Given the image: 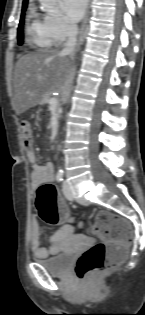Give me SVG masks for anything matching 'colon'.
I'll return each mask as SVG.
<instances>
[{
  "mask_svg": "<svg viewBox=\"0 0 145 315\" xmlns=\"http://www.w3.org/2000/svg\"><path fill=\"white\" fill-rule=\"evenodd\" d=\"M21 131L23 144L29 147L32 143V126L29 121L21 122ZM36 205L41 219L50 225H56L69 217L66 204L50 183L38 187ZM92 231L102 241L87 249L77 260L75 273L82 280H90L121 263L125 247L132 238L129 223L107 210L96 215Z\"/></svg>",
  "mask_w": 145,
  "mask_h": 315,
  "instance_id": "obj_1",
  "label": "colon"
}]
</instances>
